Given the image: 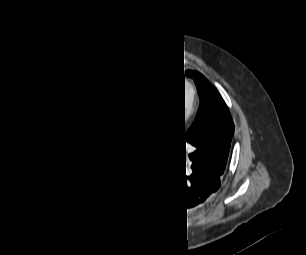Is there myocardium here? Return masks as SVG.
I'll list each match as a JSON object with an SVG mask.
<instances>
[{"label": "myocardium", "instance_id": "obj_1", "mask_svg": "<svg viewBox=\"0 0 306 255\" xmlns=\"http://www.w3.org/2000/svg\"><path fill=\"white\" fill-rule=\"evenodd\" d=\"M178 89L187 90L188 92L187 105L180 116L178 117L167 116V110H166L167 101L173 95V93ZM198 95L199 93L196 85L194 84V82H192L189 79H180L176 81L166 91V93L163 96V100L161 102L162 113L165 115L166 122L172 128L180 129L185 125H187V123L190 121L196 110Z\"/></svg>", "mask_w": 306, "mask_h": 255}]
</instances>
